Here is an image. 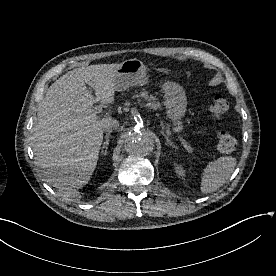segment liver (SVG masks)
Masks as SVG:
<instances>
[{
  "mask_svg": "<svg viewBox=\"0 0 276 276\" xmlns=\"http://www.w3.org/2000/svg\"><path fill=\"white\" fill-rule=\"evenodd\" d=\"M119 65L75 68L56 80L39 104L33 127L35 159L47 182L67 196H76L96 168L103 125L111 113L100 118L93 104L114 103Z\"/></svg>",
  "mask_w": 276,
  "mask_h": 276,
  "instance_id": "liver-1",
  "label": "liver"
}]
</instances>
